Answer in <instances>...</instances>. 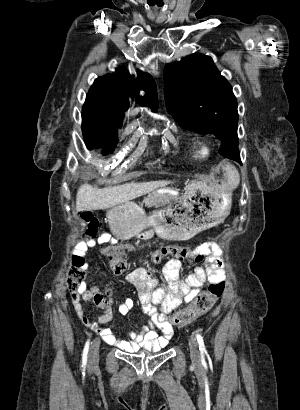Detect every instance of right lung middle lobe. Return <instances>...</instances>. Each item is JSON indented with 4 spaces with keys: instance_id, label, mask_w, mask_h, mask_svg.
I'll use <instances>...</instances> for the list:
<instances>
[{
    "instance_id": "dd1d6c3e",
    "label": "right lung middle lobe",
    "mask_w": 300,
    "mask_h": 410,
    "mask_svg": "<svg viewBox=\"0 0 300 410\" xmlns=\"http://www.w3.org/2000/svg\"><path fill=\"white\" fill-rule=\"evenodd\" d=\"M100 101L87 95L82 110V131L88 146L100 145L107 151H112L117 140V129L121 127L122 120L115 117H107L102 114Z\"/></svg>"
}]
</instances>
